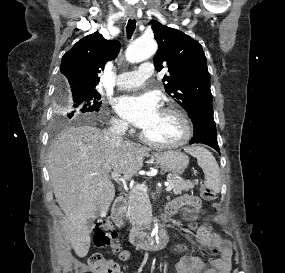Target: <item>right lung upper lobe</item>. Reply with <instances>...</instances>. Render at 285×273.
Listing matches in <instances>:
<instances>
[{
  "label": "right lung upper lobe",
  "mask_w": 285,
  "mask_h": 273,
  "mask_svg": "<svg viewBox=\"0 0 285 273\" xmlns=\"http://www.w3.org/2000/svg\"><path fill=\"white\" fill-rule=\"evenodd\" d=\"M120 51L118 40H106L95 32L79 40L61 61V80L68 90L95 89L100 81L98 73L108 60L116 58Z\"/></svg>",
  "instance_id": "right-lung-upper-lobe-1"
}]
</instances>
